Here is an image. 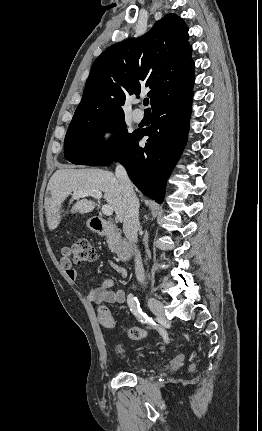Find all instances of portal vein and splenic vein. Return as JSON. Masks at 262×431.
Listing matches in <instances>:
<instances>
[{
  "mask_svg": "<svg viewBox=\"0 0 262 431\" xmlns=\"http://www.w3.org/2000/svg\"><path fill=\"white\" fill-rule=\"evenodd\" d=\"M86 196H92L96 199L102 198V193L100 191H81V192H74L73 198H83ZM102 213L106 216H111L113 214V208L110 205H103L102 206Z\"/></svg>",
  "mask_w": 262,
  "mask_h": 431,
  "instance_id": "obj_1",
  "label": "portal vein and splenic vein"
}]
</instances>
